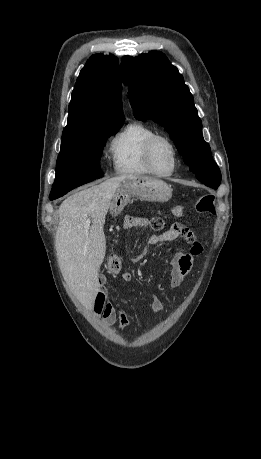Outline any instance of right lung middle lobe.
<instances>
[{"instance_id": "obj_1", "label": "right lung middle lobe", "mask_w": 261, "mask_h": 459, "mask_svg": "<svg viewBox=\"0 0 261 459\" xmlns=\"http://www.w3.org/2000/svg\"><path fill=\"white\" fill-rule=\"evenodd\" d=\"M122 124L100 125L62 139L50 200L103 176L100 169L103 147L107 138L115 134Z\"/></svg>"}]
</instances>
